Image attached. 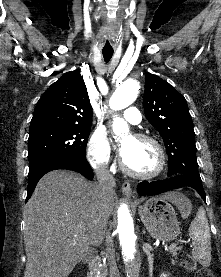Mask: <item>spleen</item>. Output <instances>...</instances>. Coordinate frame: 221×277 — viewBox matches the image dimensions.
<instances>
[{"instance_id":"obj_1","label":"spleen","mask_w":221,"mask_h":277,"mask_svg":"<svg viewBox=\"0 0 221 277\" xmlns=\"http://www.w3.org/2000/svg\"><path fill=\"white\" fill-rule=\"evenodd\" d=\"M189 235L192 239V255L203 266L211 262V238L208 221L204 210H199L190 225Z\"/></svg>"}]
</instances>
